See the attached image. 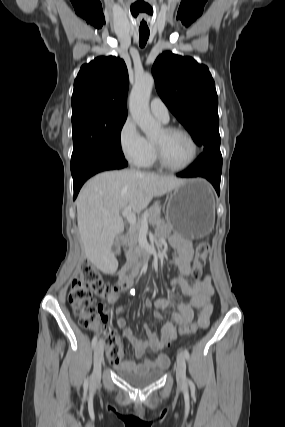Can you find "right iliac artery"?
Listing matches in <instances>:
<instances>
[{
	"label": "right iliac artery",
	"instance_id": "1",
	"mask_svg": "<svg viewBox=\"0 0 285 427\" xmlns=\"http://www.w3.org/2000/svg\"><path fill=\"white\" fill-rule=\"evenodd\" d=\"M96 343H97V336H94L92 339V346L95 347ZM87 384H88V382L86 381L85 385H87Z\"/></svg>",
	"mask_w": 285,
	"mask_h": 427
}]
</instances>
